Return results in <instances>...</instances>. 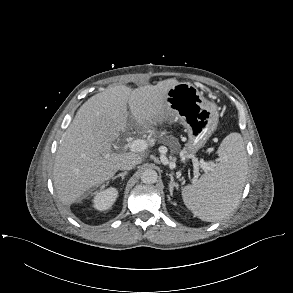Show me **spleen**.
I'll use <instances>...</instances> for the list:
<instances>
[{
	"instance_id": "obj_1",
	"label": "spleen",
	"mask_w": 293,
	"mask_h": 293,
	"mask_svg": "<svg viewBox=\"0 0 293 293\" xmlns=\"http://www.w3.org/2000/svg\"><path fill=\"white\" fill-rule=\"evenodd\" d=\"M220 163L193 185L182 189V198L199 219L216 222L237 206L247 175V156L243 138L230 133L220 144Z\"/></svg>"
}]
</instances>
